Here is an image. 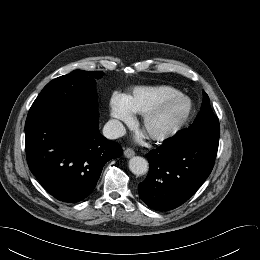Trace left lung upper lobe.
<instances>
[{
    "label": "left lung upper lobe",
    "instance_id": "5c2ea615",
    "mask_svg": "<svg viewBox=\"0 0 260 260\" xmlns=\"http://www.w3.org/2000/svg\"><path fill=\"white\" fill-rule=\"evenodd\" d=\"M219 135V120L211 109L208 95L203 93L201 110L193 124L188 129L180 130L175 136L219 142Z\"/></svg>",
    "mask_w": 260,
    "mask_h": 260
}]
</instances>
